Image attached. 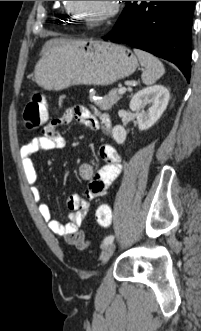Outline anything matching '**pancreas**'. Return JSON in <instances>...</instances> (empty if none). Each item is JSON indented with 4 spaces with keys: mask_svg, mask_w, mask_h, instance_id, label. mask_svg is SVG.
<instances>
[{
    "mask_svg": "<svg viewBox=\"0 0 201 331\" xmlns=\"http://www.w3.org/2000/svg\"><path fill=\"white\" fill-rule=\"evenodd\" d=\"M118 90L116 88L109 91L107 95L103 98L94 100L95 92L89 94V98L92 102L98 105L103 110L111 109V107L116 104L120 99L121 95L117 93Z\"/></svg>",
    "mask_w": 201,
    "mask_h": 331,
    "instance_id": "cf45deb5",
    "label": "pancreas"
}]
</instances>
